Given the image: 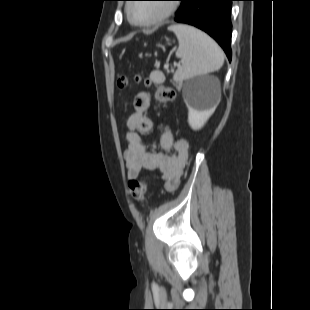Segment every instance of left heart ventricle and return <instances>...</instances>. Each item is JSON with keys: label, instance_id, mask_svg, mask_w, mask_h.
<instances>
[{"label": "left heart ventricle", "instance_id": "1", "mask_svg": "<svg viewBox=\"0 0 310 310\" xmlns=\"http://www.w3.org/2000/svg\"><path fill=\"white\" fill-rule=\"evenodd\" d=\"M165 3H136L132 6V17L136 21H149L161 15L165 9Z\"/></svg>", "mask_w": 310, "mask_h": 310}]
</instances>
